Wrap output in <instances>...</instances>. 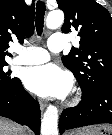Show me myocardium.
Segmentation results:
<instances>
[{"label":"myocardium","mask_w":112,"mask_h":135,"mask_svg":"<svg viewBox=\"0 0 112 135\" xmlns=\"http://www.w3.org/2000/svg\"><path fill=\"white\" fill-rule=\"evenodd\" d=\"M81 100V97L79 96V95H76V96H74L73 98H72V100H71V104L72 105H75V104H77V103H79V101Z\"/></svg>","instance_id":"f54148a6"}]
</instances>
